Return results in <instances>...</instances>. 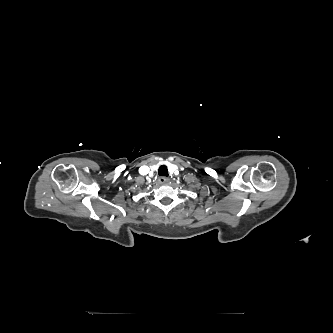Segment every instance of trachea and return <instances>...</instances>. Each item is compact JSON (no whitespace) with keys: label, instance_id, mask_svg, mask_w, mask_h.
Masks as SVG:
<instances>
[{"label":"trachea","instance_id":"1","mask_svg":"<svg viewBox=\"0 0 333 333\" xmlns=\"http://www.w3.org/2000/svg\"><path fill=\"white\" fill-rule=\"evenodd\" d=\"M158 173L161 176H168V168L165 165H162L159 167Z\"/></svg>","mask_w":333,"mask_h":333}]
</instances>
